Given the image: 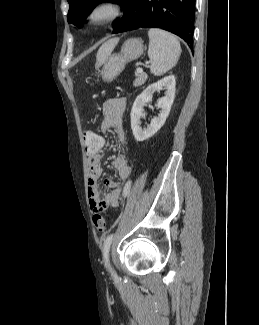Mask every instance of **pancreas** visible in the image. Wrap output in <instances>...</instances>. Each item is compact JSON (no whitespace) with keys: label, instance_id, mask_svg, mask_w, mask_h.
Wrapping results in <instances>:
<instances>
[{"label":"pancreas","instance_id":"1","mask_svg":"<svg viewBox=\"0 0 259 325\" xmlns=\"http://www.w3.org/2000/svg\"><path fill=\"white\" fill-rule=\"evenodd\" d=\"M135 75H136V79H135V81L133 82V85H134L135 87H138V86L143 85V84L145 83L147 77H148L147 74L144 73V72H141V73L136 72Z\"/></svg>","mask_w":259,"mask_h":325}]
</instances>
